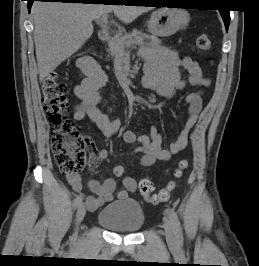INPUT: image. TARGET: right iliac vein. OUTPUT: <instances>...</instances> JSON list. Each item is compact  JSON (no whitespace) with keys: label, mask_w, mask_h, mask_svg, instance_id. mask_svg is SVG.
I'll return each mask as SVG.
<instances>
[{"label":"right iliac vein","mask_w":259,"mask_h":266,"mask_svg":"<svg viewBox=\"0 0 259 266\" xmlns=\"http://www.w3.org/2000/svg\"><path fill=\"white\" fill-rule=\"evenodd\" d=\"M86 214V208L84 205H81L78 210H77V214H76V229L75 232L72 236L73 240H76L77 235H78V226L80 225V223L83 221L84 217Z\"/></svg>","instance_id":"1"}]
</instances>
